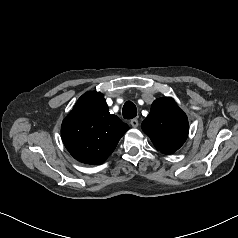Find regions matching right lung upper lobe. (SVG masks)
Instances as JSON below:
<instances>
[{"label":"right lung upper lobe","instance_id":"obj_1","mask_svg":"<svg viewBox=\"0 0 238 238\" xmlns=\"http://www.w3.org/2000/svg\"><path fill=\"white\" fill-rule=\"evenodd\" d=\"M128 129L126 123L109 113L103 95L93 91L78 99L62 123L61 135L76 160L99 165L114 151Z\"/></svg>","mask_w":238,"mask_h":238}]
</instances>
